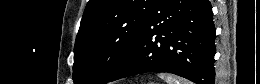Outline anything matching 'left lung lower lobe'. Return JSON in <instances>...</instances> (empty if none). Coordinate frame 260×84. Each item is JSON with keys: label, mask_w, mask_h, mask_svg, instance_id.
<instances>
[{"label": "left lung lower lobe", "mask_w": 260, "mask_h": 84, "mask_svg": "<svg viewBox=\"0 0 260 84\" xmlns=\"http://www.w3.org/2000/svg\"><path fill=\"white\" fill-rule=\"evenodd\" d=\"M215 34L209 0H156L131 53L107 82L162 71L214 84Z\"/></svg>", "instance_id": "obj_1"}]
</instances>
